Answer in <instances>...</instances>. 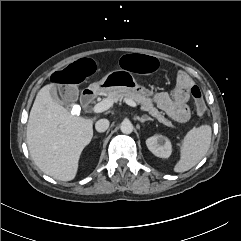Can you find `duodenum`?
Here are the masks:
<instances>
[{"instance_id":"obj_1","label":"duodenum","mask_w":241,"mask_h":241,"mask_svg":"<svg viewBox=\"0 0 241 241\" xmlns=\"http://www.w3.org/2000/svg\"><path fill=\"white\" fill-rule=\"evenodd\" d=\"M99 90L97 88H88L85 89L81 95V103L83 106H89L93 100L95 99L97 92Z\"/></svg>"}]
</instances>
